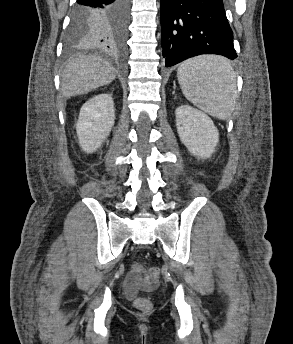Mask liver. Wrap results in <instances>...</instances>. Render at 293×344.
Segmentation results:
<instances>
[{
    "instance_id": "6515ba94",
    "label": "liver",
    "mask_w": 293,
    "mask_h": 344,
    "mask_svg": "<svg viewBox=\"0 0 293 344\" xmlns=\"http://www.w3.org/2000/svg\"><path fill=\"white\" fill-rule=\"evenodd\" d=\"M116 78L115 68L98 56H79L65 66L61 91L66 98L81 95L110 84Z\"/></svg>"
}]
</instances>
